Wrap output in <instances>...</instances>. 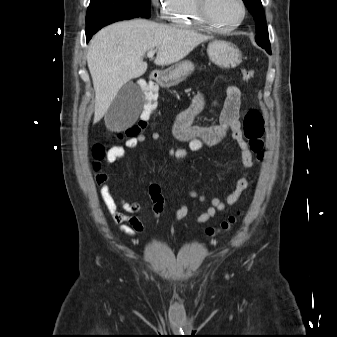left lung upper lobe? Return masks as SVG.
Here are the masks:
<instances>
[{
  "instance_id": "1",
  "label": "left lung upper lobe",
  "mask_w": 337,
  "mask_h": 337,
  "mask_svg": "<svg viewBox=\"0 0 337 337\" xmlns=\"http://www.w3.org/2000/svg\"><path fill=\"white\" fill-rule=\"evenodd\" d=\"M248 10L253 15L256 21V42L259 46L271 53L268 28L266 26V19L262 8L261 0H243Z\"/></svg>"
}]
</instances>
